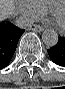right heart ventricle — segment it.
<instances>
[{"label": "right heart ventricle", "mask_w": 65, "mask_h": 89, "mask_svg": "<svg viewBox=\"0 0 65 89\" xmlns=\"http://www.w3.org/2000/svg\"><path fill=\"white\" fill-rule=\"evenodd\" d=\"M56 0H29L42 14L46 13L48 7Z\"/></svg>", "instance_id": "1"}]
</instances>
